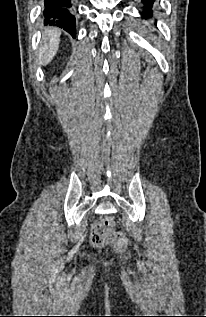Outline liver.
Returning <instances> with one entry per match:
<instances>
[{
	"label": "liver",
	"mask_w": 206,
	"mask_h": 317,
	"mask_svg": "<svg viewBox=\"0 0 206 317\" xmlns=\"http://www.w3.org/2000/svg\"><path fill=\"white\" fill-rule=\"evenodd\" d=\"M60 35L61 30L56 27H50L45 30L38 54V63L40 65L48 64L56 55L59 48Z\"/></svg>",
	"instance_id": "obj_1"
}]
</instances>
